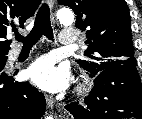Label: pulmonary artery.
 <instances>
[{
    "label": "pulmonary artery",
    "mask_w": 142,
    "mask_h": 119,
    "mask_svg": "<svg viewBox=\"0 0 142 119\" xmlns=\"http://www.w3.org/2000/svg\"><path fill=\"white\" fill-rule=\"evenodd\" d=\"M78 41L77 34L71 28H64L61 30L60 43L65 46H70L76 44ZM20 51L18 49H13L9 54V59L14 60Z\"/></svg>",
    "instance_id": "1"
}]
</instances>
